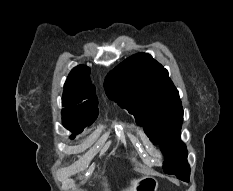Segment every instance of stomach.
I'll use <instances>...</instances> for the list:
<instances>
[{"label":"stomach","instance_id":"1","mask_svg":"<svg viewBox=\"0 0 233 191\" xmlns=\"http://www.w3.org/2000/svg\"><path fill=\"white\" fill-rule=\"evenodd\" d=\"M158 181L152 176H142L141 178H133L130 186L123 191H157Z\"/></svg>","mask_w":233,"mask_h":191}]
</instances>
